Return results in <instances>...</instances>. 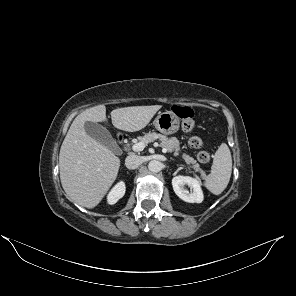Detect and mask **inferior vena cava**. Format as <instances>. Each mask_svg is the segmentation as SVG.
Instances as JSON below:
<instances>
[{"label":"inferior vena cava","mask_w":296,"mask_h":296,"mask_svg":"<svg viewBox=\"0 0 296 296\" xmlns=\"http://www.w3.org/2000/svg\"><path fill=\"white\" fill-rule=\"evenodd\" d=\"M141 163V158L137 155H129L125 159V165L128 169H136Z\"/></svg>","instance_id":"obj_1"}]
</instances>
